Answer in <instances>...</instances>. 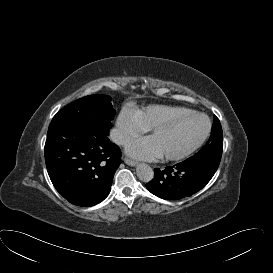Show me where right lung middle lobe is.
<instances>
[{"label":"right lung middle lobe","instance_id":"1","mask_svg":"<svg viewBox=\"0 0 273 273\" xmlns=\"http://www.w3.org/2000/svg\"><path fill=\"white\" fill-rule=\"evenodd\" d=\"M107 95H90L80 98L62 108L53 118L50 126L65 121L82 127L107 133L115 110Z\"/></svg>","mask_w":273,"mask_h":273}]
</instances>
